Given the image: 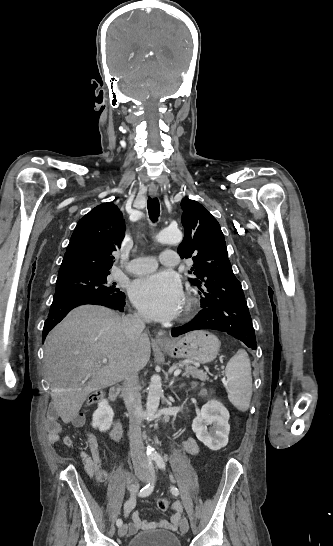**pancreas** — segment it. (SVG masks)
I'll return each instance as SVG.
<instances>
[{"label":"pancreas","instance_id":"1","mask_svg":"<svg viewBox=\"0 0 333 546\" xmlns=\"http://www.w3.org/2000/svg\"><path fill=\"white\" fill-rule=\"evenodd\" d=\"M175 368L177 369H184V372L182 376L189 378L190 376L193 378H197L201 381L209 380V377L207 376L206 372H203L202 370H199L197 367L192 366L185 362H179Z\"/></svg>","mask_w":333,"mask_h":546}]
</instances>
